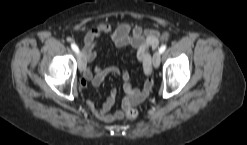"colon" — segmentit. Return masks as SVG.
I'll return each mask as SVG.
<instances>
[{"instance_id":"obj_1","label":"colon","mask_w":247,"mask_h":145,"mask_svg":"<svg viewBox=\"0 0 247 145\" xmlns=\"http://www.w3.org/2000/svg\"><path fill=\"white\" fill-rule=\"evenodd\" d=\"M138 115V110L133 107H128L124 111V116L127 120H135L138 117Z\"/></svg>"}]
</instances>
